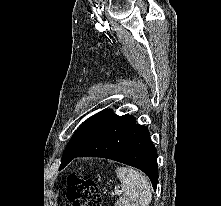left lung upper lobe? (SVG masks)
Masks as SVG:
<instances>
[{"label":"left lung upper lobe","mask_w":221,"mask_h":206,"mask_svg":"<svg viewBox=\"0 0 221 206\" xmlns=\"http://www.w3.org/2000/svg\"><path fill=\"white\" fill-rule=\"evenodd\" d=\"M118 117L111 110H106L97 113L82 123L71 137L62 156L61 165L90 144Z\"/></svg>","instance_id":"1"}]
</instances>
